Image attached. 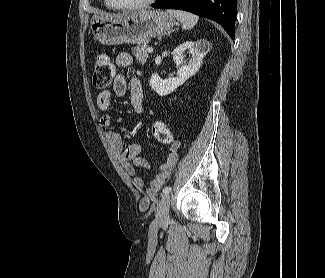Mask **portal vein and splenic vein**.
<instances>
[{
    "label": "portal vein and splenic vein",
    "mask_w": 325,
    "mask_h": 278,
    "mask_svg": "<svg viewBox=\"0 0 325 278\" xmlns=\"http://www.w3.org/2000/svg\"><path fill=\"white\" fill-rule=\"evenodd\" d=\"M147 51H148L149 53H152V52H153V48H152V47H148V48H147Z\"/></svg>",
    "instance_id": "obj_1"
}]
</instances>
